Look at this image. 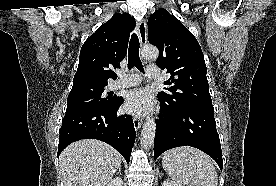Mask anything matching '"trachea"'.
I'll use <instances>...</instances> for the list:
<instances>
[{"label": "trachea", "mask_w": 276, "mask_h": 186, "mask_svg": "<svg viewBox=\"0 0 276 186\" xmlns=\"http://www.w3.org/2000/svg\"><path fill=\"white\" fill-rule=\"evenodd\" d=\"M139 39L137 34L133 33L129 43L128 49V69L136 67L138 70L143 72V65L139 57Z\"/></svg>", "instance_id": "trachea-1"}]
</instances>
